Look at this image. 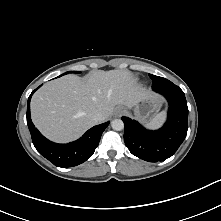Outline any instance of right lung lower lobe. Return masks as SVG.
<instances>
[{"mask_svg":"<svg viewBox=\"0 0 221 221\" xmlns=\"http://www.w3.org/2000/svg\"><path fill=\"white\" fill-rule=\"evenodd\" d=\"M36 90L28 98L26 116L32 142L37 151L57 167H73L88 160L98 146L101 134L109 122L92 127L80 139L74 142L68 144L53 143L35 128L30 117V100Z\"/></svg>","mask_w":221,"mask_h":221,"instance_id":"right-lung-lower-lobe-1","label":"right lung lower lobe"}]
</instances>
